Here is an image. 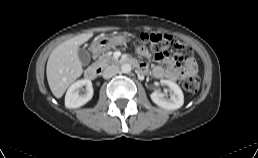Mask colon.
I'll use <instances>...</instances> for the list:
<instances>
[{
  "mask_svg": "<svg viewBox=\"0 0 258 158\" xmlns=\"http://www.w3.org/2000/svg\"><path fill=\"white\" fill-rule=\"evenodd\" d=\"M139 41L143 48L150 49L157 55L173 56L179 63H189L193 52L187 45L175 40L169 35L159 33H142ZM183 87L187 92L195 93L200 87V79L190 74L183 80Z\"/></svg>",
  "mask_w": 258,
  "mask_h": 158,
  "instance_id": "5ec220e1",
  "label": "colon"
}]
</instances>
